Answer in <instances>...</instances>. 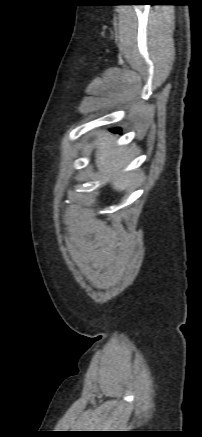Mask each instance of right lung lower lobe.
Masks as SVG:
<instances>
[{
    "label": "right lung lower lobe",
    "mask_w": 202,
    "mask_h": 437,
    "mask_svg": "<svg viewBox=\"0 0 202 437\" xmlns=\"http://www.w3.org/2000/svg\"><path fill=\"white\" fill-rule=\"evenodd\" d=\"M113 131H115V132H118V133H120V132H121V130H120V129H118V128H115V129H113Z\"/></svg>",
    "instance_id": "obj_1"
}]
</instances>
